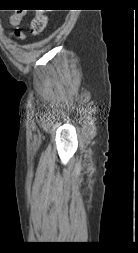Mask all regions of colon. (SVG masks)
<instances>
[{"label":"colon","instance_id":"5ec220e1","mask_svg":"<svg viewBox=\"0 0 138 253\" xmlns=\"http://www.w3.org/2000/svg\"><path fill=\"white\" fill-rule=\"evenodd\" d=\"M46 25H47V16L41 11L37 12L35 18L31 23L32 34L34 35L41 34L46 28Z\"/></svg>","mask_w":138,"mask_h":253}]
</instances>
